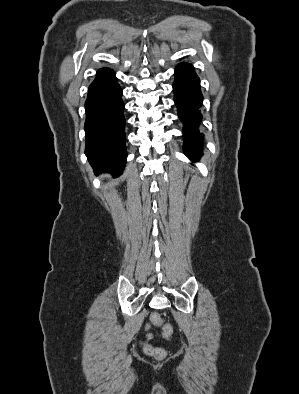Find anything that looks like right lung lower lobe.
<instances>
[{
    "instance_id": "98d812e1",
    "label": "right lung lower lobe",
    "mask_w": 299,
    "mask_h": 394,
    "mask_svg": "<svg viewBox=\"0 0 299 394\" xmlns=\"http://www.w3.org/2000/svg\"><path fill=\"white\" fill-rule=\"evenodd\" d=\"M121 96L115 72L102 68L89 86L85 102V154L96 172L116 176L122 173L127 158Z\"/></svg>"
}]
</instances>
